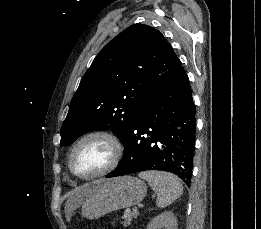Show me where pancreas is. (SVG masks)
I'll return each instance as SVG.
<instances>
[{
  "label": "pancreas",
  "mask_w": 261,
  "mask_h": 229,
  "mask_svg": "<svg viewBox=\"0 0 261 229\" xmlns=\"http://www.w3.org/2000/svg\"><path fill=\"white\" fill-rule=\"evenodd\" d=\"M126 217H124V221H121V225H123L124 229L128 227V225H131V221L133 219H137L139 213H135V211H132V213H125Z\"/></svg>",
  "instance_id": "1"
}]
</instances>
